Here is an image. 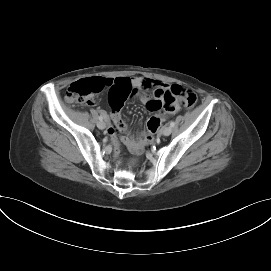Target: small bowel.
<instances>
[{
    "label": "small bowel",
    "mask_w": 271,
    "mask_h": 271,
    "mask_svg": "<svg viewBox=\"0 0 271 271\" xmlns=\"http://www.w3.org/2000/svg\"><path fill=\"white\" fill-rule=\"evenodd\" d=\"M105 84L104 97L109 101L111 110L112 125L108 128L109 135L116 139L118 133H124L123 142L128 145H134V138L129 131L126 123L121 116L122 104L134 96L140 94L141 89L152 90L154 98H150L146 94L139 96L140 101L146 105L147 109L154 113V118L161 119L164 113H175L179 107L177 104L171 108H166L163 105L161 94L172 85L165 84L159 80L144 79V78H104Z\"/></svg>",
    "instance_id": "small-bowel-1"
}]
</instances>
